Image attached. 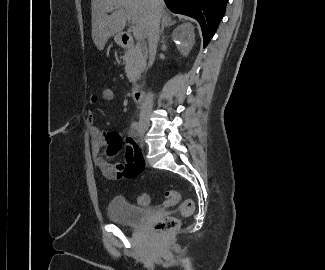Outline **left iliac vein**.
Returning a JSON list of instances; mask_svg holds the SVG:
<instances>
[{"label":"left iliac vein","instance_id":"obj_1","mask_svg":"<svg viewBox=\"0 0 325 270\" xmlns=\"http://www.w3.org/2000/svg\"><path fill=\"white\" fill-rule=\"evenodd\" d=\"M144 133H145V131H144V130H142V129H140V130H139V135H140V138H141V139H142V137H143Z\"/></svg>","mask_w":325,"mask_h":270}]
</instances>
